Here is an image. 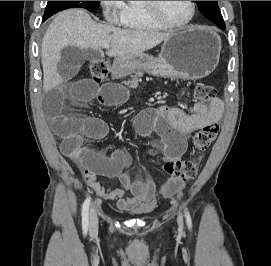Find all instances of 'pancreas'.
Instances as JSON below:
<instances>
[{
	"mask_svg": "<svg viewBox=\"0 0 271 266\" xmlns=\"http://www.w3.org/2000/svg\"><path fill=\"white\" fill-rule=\"evenodd\" d=\"M142 74H143V69L135 70V76H141ZM135 76H132V77H135ZM125 84L134 88V87H136L137 82L134 80H131V81L125 82Z\"/></svg>",
	"mask_w": 271,
	"mask_h": 266,
	"instance_id": "obj_1",
	"label": "pancreas"
}]
</instances>
